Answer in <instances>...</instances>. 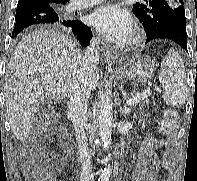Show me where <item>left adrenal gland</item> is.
<instances>
[{
	"mask_svg": "<svg viewBox=\"0 0 197 181\" xmlns=\"http://www.w3.org/2000/svg\"><path fill=\"white\" fill-rule=\"evenodd\" d=\"M118 107H119L120 113L124 117H126L131 112V108L130 107H128V106L121 107V102L118 103Z\"/></svg>",
	"mask_w": 197,
	"mask_h": 181,
	"instance_id": "left-adrenal-gland-1",
	"label": "left adrenal gland"
}]
</instances>
